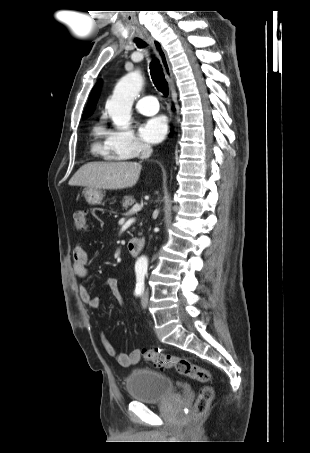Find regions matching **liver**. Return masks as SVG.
Segmentation results:
<instances>
[{
  "mask_svg": "<svg viewBox=\"0 0 310 453\" xmlns=\"http://www.w3.org/2000/svg\"><path fill=\"white\" fill-rule=\"evenodd\" d=\"M141 168L137 162H89L77 170L68 184L107 190L130 188L137 183Z\"/></svg>",
  "mask_w": 310,
  "mask_h": 453,
  "instance_id": "1",
  "label": "liver"
}]
</instances>
